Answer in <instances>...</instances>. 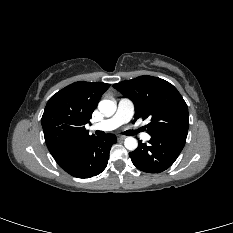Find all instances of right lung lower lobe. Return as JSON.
<instances>
[{
    "mask_svg": "<svg viewBox=\"0 0 233 233\" xmlns=\"http://www.w3.org/2000/svg\"><path fill=\"white\" fill-rule=\"evenodd\" d=\"M116 141L114 134L93 137L59 166L77 178L96 176L106 168L110 148Z\"/></svg>",
    "mask_w": 233,
    "mask_h": 233,
    "instance_id": "right-lung-lower-lobe-1",
    "label": "right lung lower lobe"
}]
</instances>
